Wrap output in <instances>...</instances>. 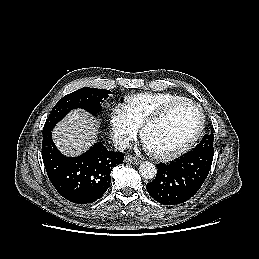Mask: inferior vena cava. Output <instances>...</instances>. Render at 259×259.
Segmentation results:
<instances>
[{
  "label": "inferior vena cava",
  "mask_w": 259,
  "mask_h": 259,
  "mask_svg": "<svg viewBox=\"0 0 259 259\" xmlns=\"http://www.w3.org/2000/svg\"><path fill=\"white\" fill-rule=\"evenodd\" d=\"M129 145V141L127 139L117 138L114 140V147L119 151L129 148Z\"/></svg>",
  "instance_id": "inferior-vena-cava-1"
}]
</instances>
